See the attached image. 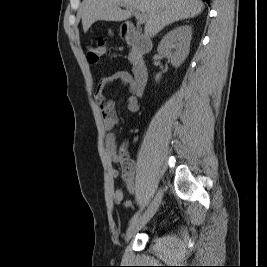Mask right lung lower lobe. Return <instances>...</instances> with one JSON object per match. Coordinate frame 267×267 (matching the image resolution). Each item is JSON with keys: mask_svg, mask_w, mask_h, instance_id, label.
<instances>
[{"mask_svg": "<svg viewBox=\"0 0 267 267\" xmlns=\"http://www.w3.org/2000/svg\"><path fill=\"white\" fill-rule=\"evenodd\" d=\"M209 4V0H205Z\"/></svg>", "mask_w": 267, "mask_h": 267, "instance_id": "right-lung-lower-lobe-1", "label": "right lung lower lobe"}]
</instances>
